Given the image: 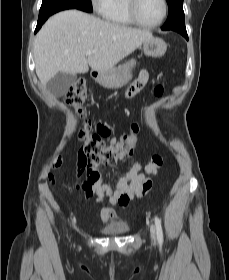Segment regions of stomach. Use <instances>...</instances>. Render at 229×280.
<instances>
[{"instance_id":"stomach-1","label":"stomach","mask_w":229,"mask_h":280,"mask_svg":"<svg viewBox=\"0 0 229 280\" xmlns=\"http://www.w3.org/2000/svg\"><path fill=\"white\" fill-rule=\"evenodd\" d=\"M143 52L145 55L158 58L165 54L167 45L160 39L152 37L143 42ZM136 65V61L133 60L130 63L113 68L109 71L97 73L95 80L101 86L108 89H117L126 85L132 78L131 69Z\"/></svg>"}]
</instances>
